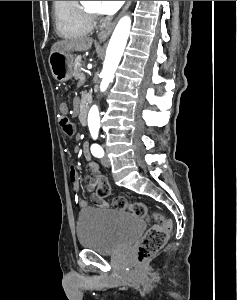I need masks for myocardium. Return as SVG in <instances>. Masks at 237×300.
Wrapping results in <instances>:
<instances>
[{
	"label": "myocardium",
	"instance_id": "1",
	"mask_svg": "<svg viewBox=\"0 0 237 300\" xmlns=\"http://www.w3.org/2000/svg\"><path fill=\"white\" fill-rule=\"evenodd\" d=\"M82 10L84 11V13L92 20H96L100 17V12L99 11H93L89 8H87L86 6H81Z\"/></svg>",
	"mask_w": 237,
	"mask_h": 300
}]
</instances>
